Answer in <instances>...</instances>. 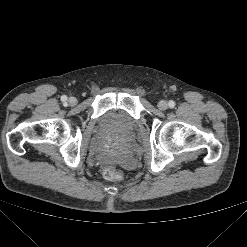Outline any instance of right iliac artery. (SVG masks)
Listing matches in <instances>:
<instances>
[{
    "instance_id": "82829eb1",
    "label": "right iliac artery",
    "mask_w": 247,
    "mask_h": 247,
    "mask_svg": "<svg viewBox=\"0 0 247 247\" xmlns=\"http://www.w3.org/2000/svg\"><path fill=\"white\" fill-rule=\"evenodd\" d=\"M61 100H62L63 102H65V101L67 100V97H66L65 95H63V96L61 97Z\"/></svg>"
}]
</instances>
